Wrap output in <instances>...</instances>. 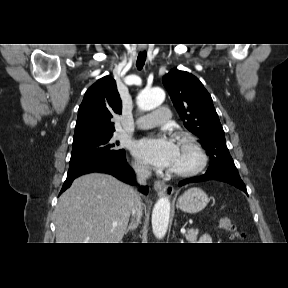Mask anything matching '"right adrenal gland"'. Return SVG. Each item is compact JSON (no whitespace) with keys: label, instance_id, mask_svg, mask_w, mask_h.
I'll list each match as a JSON object with an SVG mask.
<instances>
[{"label":"right adrenal gland","instance_id":"obj_1","mask_svg":"<svg viewBox=\"0 0 288 288\" xmlns=\"http://www.w3.org/2000/svg\"><path fill=\"white\" fill-rule=\"evenodd\" d=\"M139 224V220L133 221L129 224V226L125 230V234H127L129 231H134Z\"/></svg>","mask_w":288,"mask_h":288}]
</instances>
